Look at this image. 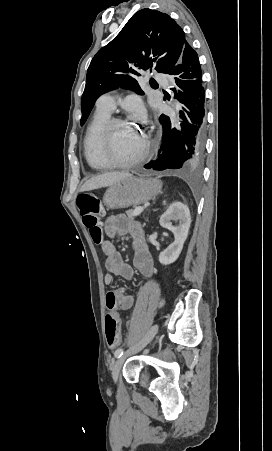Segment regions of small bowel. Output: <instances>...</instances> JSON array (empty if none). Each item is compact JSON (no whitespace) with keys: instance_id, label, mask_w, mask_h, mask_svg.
<instances>
[{"instance_id":"1","label":"small bowel","mask_w":272,"mask_h":451,"mask_svg":"<svg viewBox=\"0 0 272 451\" xmlns=\"http://www.w3.org/2000/svg\"><path fill=\"white\" fill-rule=\"evenodd\" d=\"M104 231L108 237L101 243L107 269L104 275L106 284L112 282L114 275L132 279L135 270L146 278H152L156 275L157 271L146 241L145 230L140 222L123 214L114 215L106 221ZM124 236H129L131 239L133 267L123 261L120 252L114 245L115 241H119ZM133 304V296L123 288L111 290L106 295V306L109 310H129ZM118 340H121L120 335Z\"/></svg>"}]
</instances>
